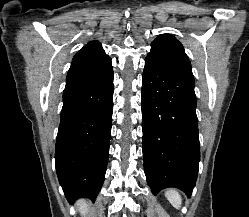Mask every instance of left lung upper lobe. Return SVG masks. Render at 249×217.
Returning a JSON list of instances; mask_svg holds the SVG:
<instances>
[{"label": "left lung upper lobe", "mask_w": 249, "mask_h": 217, "mask_svg": "<svg viewBox=\"0 0 249 217\" xmlns=\"http://www.w3.org/2000/svg\"><path fill=\"white\" fill-rule=\"evenodd\" d=\"M145 62L193 77L191 64L182 44L170 34H162L152 42Z\"/></svg>", "instance_id": "left-lung-upper-lobe-1"}]
</instances>
